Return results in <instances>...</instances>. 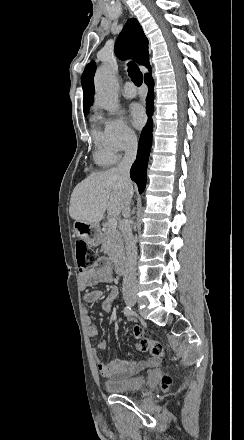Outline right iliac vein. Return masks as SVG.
I'll use <instances>...</instances> for the list:
<instances>
[{
  "label": "right iliac vein",
  "mask_w": 244,
  "mask_h": 440,
  "mask_svg": "<svg viewBox=\"0 0 244 440\" xmlns=\"http://www.w3.org/2000/svg\"><path fill=\"white\" fill-rule=\"evenodd\" d=\"M125 302L129 306H134L136 304V297L135 296L126 297Z\"/></svg>",
  "instance_id": "obj_1"
}]
</instances>
